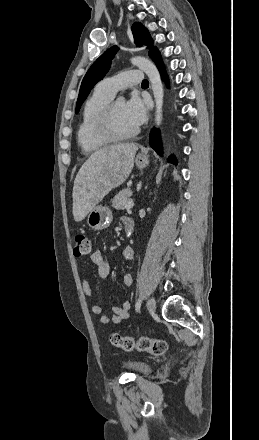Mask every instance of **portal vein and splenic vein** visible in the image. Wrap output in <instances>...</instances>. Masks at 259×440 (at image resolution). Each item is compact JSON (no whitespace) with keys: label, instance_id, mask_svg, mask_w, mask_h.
Returning <instances> with one entry per match:
<instances>
[{"label":"portal vein and splenic vein","instance_id":"obj_1","mask_svg":"<svg viewBox=\"0 0 259 440\" xmlns=\"http://www.w3.org/2000/svg\"><path fill=\"white\" fill-rule=\"evenodd\" d=\"M133 206H134L133 200H129L125 205V209L130 210L131 208H133Z\"/></svg>","mask_w":259,"mask_h":440}]
</instances>
